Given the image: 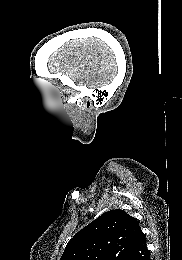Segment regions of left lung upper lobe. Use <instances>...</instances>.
<instances>
[{
    "label": "left lung upper lobe",
    "instance_id": "5c2ea615",
    "mask_svg": "<svg viewBox=\"0 0 182 260\" xmlns=\"http://www.w3.org/2000/svg\"><path fill=\"white\" fill-rule=\"evenodd\" d=\"M140 230L125 211H107L75 234L60 260H122Z\"/></svg>",
    "mask_w": 182,
    "mask_h": 260
}]
</instances>
